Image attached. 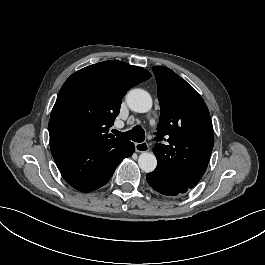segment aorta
I'll return each mask as SVG.
<instances>
[{
    "mask_svg": "<svg viewBox=\"0 0 265 265\" xmlns=\"http://www.w3.org/2000/svg\"><path fill=\"white\" fill-rule=\"evenodd\" d=\"M126 101L129 108L137 113H148L153 107L151 95L143 89L131 90L126 96ZM138 165L141 170L149 173L156 168L157 159L153 153L143 151L138 157Z\"/></svg>",
    "mask_w": 265,
    "mask_h": 265,
    "instance_id": "762f6f07",
    "label": "aorta"
}]
</instances>
